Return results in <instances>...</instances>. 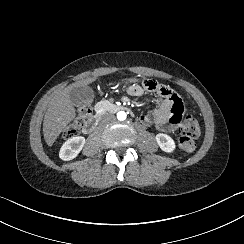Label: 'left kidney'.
<instances>
[{
	"label": "left kidney",
	"instance_id": "1",
	"mask_svg": "<svg viewBox=\"0 0 244 244\" xmlns=\"http://www.w3.org/2000/svg\"><path fill=\"white\" fill-rule=\"evenodd\" d=\"M155 139L163 152L172 154L176 150V143L170 135L165 133H158L156 134Z\"/></svg>",
	"mask_w": 244,
	"mask_h": 244
}]
</instances>
